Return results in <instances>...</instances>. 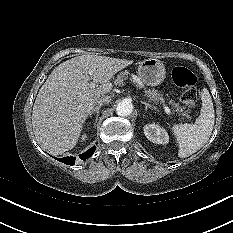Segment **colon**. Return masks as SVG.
<instances>
[{"mask_svg":"<svg viewBox=\"0 0 233 233\" xmlns=\"http://www.w3.org/2000/svg\"><path fill=\"white\" fill-rule=\"evenodd\" d=\"M174 83L181 89V100L189 107H194L196 103V82L194 73L185 67H175L172 71Z\"/></svg>","mask_w":233,"mask_h":233,"instance_id":"colon-1","label":"colon"}]
</instances>
